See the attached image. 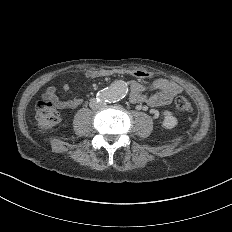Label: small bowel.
<instances>
[{"mask_svg":"<svg viewBox=\"0 0 232 232\" xmlns=\"http://www.w3.org/2000/svg\"><path fill=\"white\" fill-rule=\"evenodd\" d=\"M116 75L129 77L126 84L130 89L129 99L131 102H141L144 99L142 87L138 81L151 75L150 71L146 69H99L89 72L87 74V78L91 81L98 82L103 78ZM152 85L160 89V92L152 94L149 97V103L154 106L170 102L174 96L178 95L182 91L181 84L165 78L154 79L152 81ZM59 86L64 91H70L73 84L69 81L61 80ZM46 93L54 105L60 108H73L78 106L82 101L78 95L72 99L62 100L57 95V89L55 86H49Z\"/></svg>","mask_w":232,"mask_h":232,"instance_id":"small-bowel-1","label":"small bowel"}]
</instances>
